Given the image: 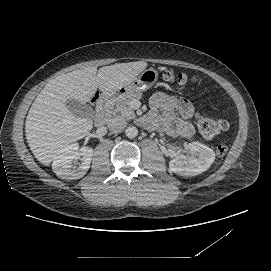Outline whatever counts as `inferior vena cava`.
Listing matches in <instances>:
<instances>
[{"mask_svg": "<svg viewBox=\"0 0 271 271\" xmlns=\"http://www.w3.org/2000/svg\"><path fill=\"white\" fill-rule=\"evenodd\" d=\"M107 126L111 132L120 133L126 127V121L120 118H113L108 122Z\"/></svg>", "mask_w": 271, "mask_h": 271, "instance_id": "inferior-vena-cava-1", "label": "inferior vena cava"}]
</instances>
